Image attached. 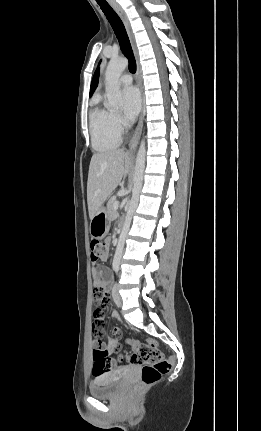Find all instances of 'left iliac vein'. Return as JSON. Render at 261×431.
Here are the masks:
<instances>
[{
    "label": "left iliac vein",
    "mask_w": 261,
    "mask_h": 431,
    "mask_svg": "<svg viewBox=\"0 0 261 431\" xmlns=\"http://www.w3.org/2000/svg\"><path fill=\"white\" fill-rule=\"evenodd\" d=\"M112 296H113V300H114L115 304L120 307L122 305V298H121V295L119 293V284L118 283H115L113 288H112Z\"/></svg>",
    "instance_id": "1"
}]
</instances>
